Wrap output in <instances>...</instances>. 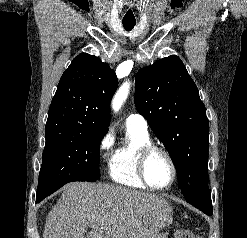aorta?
<instances>
[{
    "instance_id": "1",
    "label": "aorta",
    "mask_w": 247,
    "mask_h": 238,
    "mask_svg": "<svg viewBox=\"0 0 247 238\" xmlns=\"http://www.w3.org/2000/svg\"><path fill=\"white\" fill-rule=\"evenodd\" d=\"M129 89H130V84L126 82L120 87V89L115 94L112 100V109L115 112L119 111V109L123 105L124 101L128 96Z\"/></svg>"
}]
</instances>
